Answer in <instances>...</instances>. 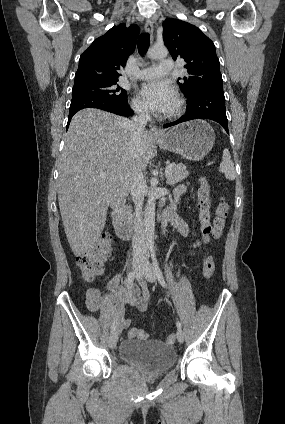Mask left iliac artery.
Masks as SVG:
<instances>
[{
    "mask_svg": "<svg viewBox=\"0 0 285 424\" xmlns=\"http://www.w3.org/2000/svg\"><path fill=\"white\" fill-rule=\"evenodd\" d=\"M151 257H152V260H153V265H154V268H155V273H156V276L158 278V281L164 288H166V283H165L164 277L162 275V272H161V270L158 266V262H157V259H156V253L153 249L151 250ZM176 325H177L178 329L182 328L180 321H177Z\"/></svg>",
    "mask_w": 285,
    "mask_h": 424,
    "instance_id": "obj_1",
    "label": "left iliac artery"
}]
</instances>
